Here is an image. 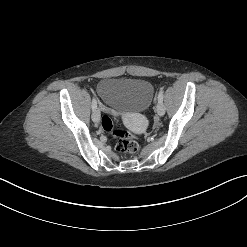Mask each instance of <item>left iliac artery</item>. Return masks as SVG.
Segmentation results:
<instances>
[{"label":"left iliac artery","instance_id":"44dca946","mask_svg":"<svg viewBox=\"0 0 247 247\" xmlns=\"http://www.w3.org/2000/svg\"><path fill=\"white\" fill-rule=\"evenodd\" d=\"M163 93H164V89L161 88L158 94V102H163Z\"/></svg>","mask_w":247,"mask_h":247}]
</instances>
